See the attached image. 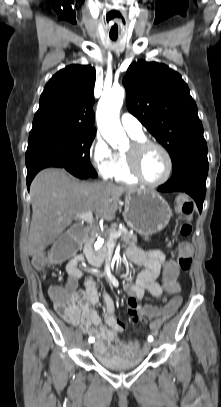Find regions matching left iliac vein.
I'll return each instance as SVG.
<instances>
[{
  "instance_id": "1",
  "label": "left iliac vein",
  "mask_w": 221,
  "mask_h": 407,
  "mask_svg": "<svg viewBox=\"0 0 221 407\" xmlns=\"http://www.w3.org/2000/svg\"><path fill=\"white\" fill-rule=\"evenodd\" d=\"M158 342L156 340L152 341V346H157Z\"/></svg>"
}]
</instances>
